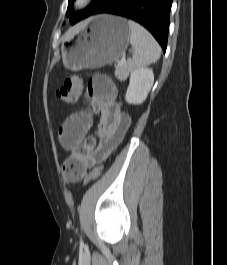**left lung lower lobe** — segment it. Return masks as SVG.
<instances>
[{"instance_id":"0a47b994","label":"left lung lower lobe","mask_w":227,"mask_h":265,"mask_svg":"<svg viewBox=\"0 0 227 265\" xmlns=\"http://www.w3.org/2000/svg\"><path fill=\"white\" fill-rule=\"evenodd\" d=\"M172 0H106L91 15L109 13L132 19L148 29L166 51Z\"/></svg>"}]
</instances>
